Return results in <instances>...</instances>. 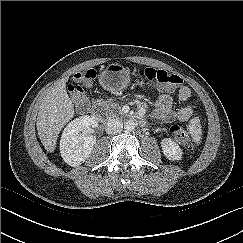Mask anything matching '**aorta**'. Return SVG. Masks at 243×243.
Masks as SVG:
<instances>
[{
  "mask_svg": "<svg viewBox=\"0 0 243 243\" xmlns=\"http://www.w3.org/2000/svg\"><path fill=\"white\" fill-rule=\"evenodd\" d=\"M135 128V122L133 120H127L124 122V129L126 131H133Z\"/></svg>",
  "mask_w": 243,
  "mask_h": 243,
  "instance_id": "aorta-1",
  "label": "aorta"
}]
</instances>
